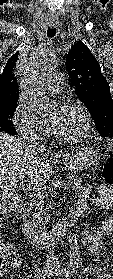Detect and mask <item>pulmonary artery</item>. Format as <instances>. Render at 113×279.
Masks as SVG:
<instances>
[{
	"label": "pulmonary artery",
	"instance_id": "pulmonary-artery-1",
	"mask_svg": "<svg viewBox=\"0 0 113 279\" xmlns=\"http://www.w3.org/2000/svg\"><path fill=\"white\" fill-rule=\"evenodd\" d=\"M60 79H61L60 74L58 73L50 74L46 79V83H45L46 89L50 93L53 94L58 93L60 91V86H59Z\"/></svg>",
	"mask_w": 113,
	"mask_h": 279
}]
</instances>
